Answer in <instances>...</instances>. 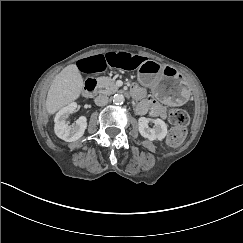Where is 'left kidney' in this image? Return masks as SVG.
Masks as SVG:
<instances>
[{
  "label": "left kidney",
  "mask_w": 243,
  "mask_h": 243,
  "mask_svg": "<svg viewBox=\"0 0 243 243\" xmlns=\"http://www.w3.org/2000/svg\"><path fill=\"white\" fill-rule=\"evenodd\" d=\"M149 122L154 123V127L150 128L148 126ZM138 129L140 134L151 141L162 140L167 135V125L161 119H150L145 117H140L138 120Z\"/></svg>",
  "instance_id": "left-kidney-1"
}]
</instances>
